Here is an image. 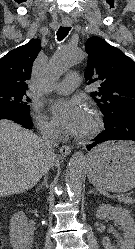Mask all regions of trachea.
<instances>
[{
    "instance_id": "trachea-1",
    "label": "trachea",
    "mask_w": 135,
    "mask_h": 249,
    "mask_svg": "<svg viewBox=\"0 0 135 249\" xmlns=\"http://www.w3.org/2000/svg\"><path fill=\"white\" fill-rule=\"evenodd\" d=\"M71 30V27H60L57 31V39L59 41L63 40Z\"/></svg>"
}]
</instances>
